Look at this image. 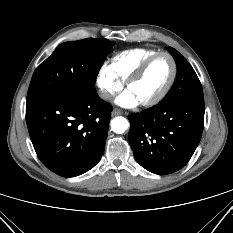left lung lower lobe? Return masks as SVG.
<instances>
[{"instance_id": "0a47b994", "label": "left lung lower lobe", "mask_w": 233, "mask_h": 233, "mask_svg": "<svg viewBox=\"0 0 233 233\" xmlns=\"http://www.w3.org/2000/svg\"><path fill=\"white\" fill-rule=\"evenodd\" d=\"M204 112V100L184 99L129 115L128 137L136 161L158 175L183 168L200 142Z\"/></svg>"}]
</instances>
